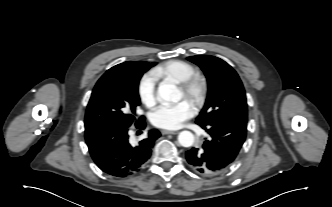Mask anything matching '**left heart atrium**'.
I'll return each instance as SVG.
<instances>
[{"label":"left heart atrium","instance_id":"obj_1","mask_svg":"<svg viewBox=\"0 0 332 207\" xmlns=\"http://www.w3.org/2000/svg\"><path fill=\"white\" fill-rule=\"evenodd\" d=\"M194 113L195 109L189 102L181 101L160 105L151 113L150 121L158 128L174 130L180 128Z\"/></svg>","mask_w":332,"mask_h":207}]
</instances>
